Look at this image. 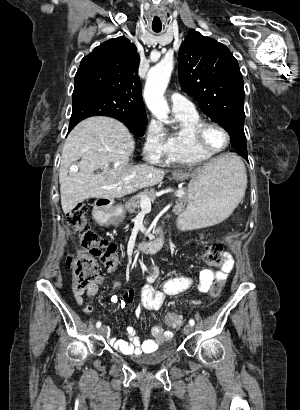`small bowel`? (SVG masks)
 Wrapping results in <instances>:
<instances>
[{
    "instance_id": "1",
    "label": "small bowel",
    "mask_w": 300,
    "mask_h": 410,
    "mask_svg": "<svg viewBox=\"0 0 300 410\" xmlns=\"http://www.w3.org/2000/svg\"><path fill=\"white\" fill-rule=\"evenodd\" d=\"M82 253V252H79ZM218 269H204L200 272L197 289L202 293H207L214 282H225L229 274L234 267V260L229 253L223 254V259L220 264H217ZM156 273L151 270L150 274L146 278V284L140 291L141 304L135 309V316L138 318L141 312L145 310L156 311L159 310L163 304L166 295L180 294L193 286V280L189 276H176L167 279L161 289H154L151 283L155 280ZM103 276H98L93 282H91L84 291H75L74 298L78 305L84 303L83 296L93 297L98 292V287L105 283ZM124 303L128 304L133 302L134 289H128L123 297ZM113 302H117V297H112ZM93 311V305L87 304L84 307V312L89 314ZM106 333L109 334V328H105ZM127 340L116 339L115 337H109L108 341L110 345L117 351L123 354H138L142 352H150L154 350L158 344L164 340L170 338L172 333L162 326H154L152 328V338L143 340L139 335L135 327L128 326L126 329Z\"/></svg>"
}]
</instances>
